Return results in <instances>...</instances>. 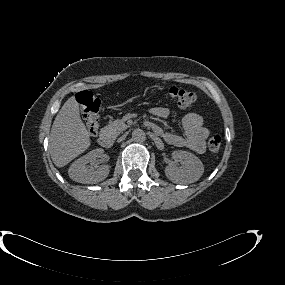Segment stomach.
I'll return each instance as SVG.
<instances>
[{"mask_svg": "<svg viewBox=\"0 0 285 285\" xmlns=\"http://www.w3.org/2000/svg\"><path fill=\"white\" fill-rule=\"evenodd\" d=\"M155 90L156 89H154V88H150V87H147L145 90H144V94H148V95H150V94H154L155 93Z\"/></svg>", "mask_w": 285, "mask_h": 285, "instance_id": "obj_1", "label": "stomach"}]
</instances>
